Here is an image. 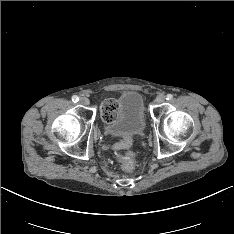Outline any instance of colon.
Segmentation results:
<instances>
[{
    "label": "colon",
    "mask_w": 234,
    "mask_h": 234,
    "mask_svg": "<svg viewBox=\"0 0 234 234\" xmlns=\"http://www.w3.org/2000/svg\"><path fill=\"white\" fill-rule=\"evenodd\" d=\"M117 109V103L113 99L106 100L101 107V117L104 122H110L114 119ZM130 146V141L128 139H123L117 142L114 146L115 150H123ZM129 156L132 155L131 152L128 153ZM122 168L125 171H132L134 169V162L129 157H123L121 159Z\"/></svg>",
    "instance_id": "colon-1"
}]
</instances>
